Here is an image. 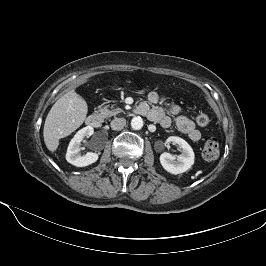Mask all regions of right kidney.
Returning a JSON list of instances; mask_svg holds the SVG:
<instances>
[{"label": "right kidney", "mask_w": 266, "mask_h": 266, "mask_svg": "<svg viewBox=\"0 0 266 266\" xmlns=\"http://www.w3.org/2000/svg\"><path fill=\"white\" fill-rule=\"evenodd\" d=\"M94 132L93 127L86 126L79 130L75 136L70 141L67 153H66V160L77 167H85L92 163H95L98 160V154L93 152H88L85 155L80 153L81 151V142L85 137H90Z\"/></svg>", "instance_id": "right-kidney-1"}]
</instances>
